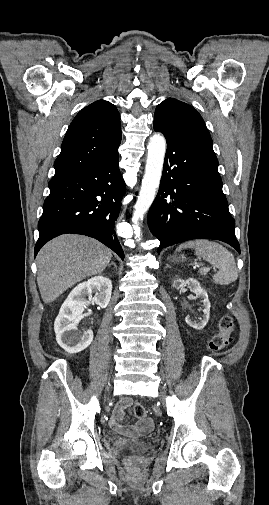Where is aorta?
<instances>
[{
	"mask_svg": "<svg viewBox=\"0 0 269 505\" xmlns=\"http://www.w3.org/2000/svg\"><path fill=\"white\" fill-rule=\"evenodd\" d=\"M147 148L145 174L132 215L135 238H139L140 236L139 221L144 218V215L152 205L160 184L166 150L164 136L159 133L153 134Z\"/></svg>",
	"mask_w": 269,
	"mask_h": 505,
	"instance_id": "aorta-1",
	"label": "aorta"
}]
</instances>
